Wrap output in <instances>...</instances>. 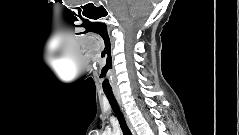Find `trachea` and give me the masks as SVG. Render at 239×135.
<instances>
[{
  "instance_id": "3493384b",
  "label": "trachea",
  "mask_w": 239,
  "mask_h": 135,
  "mask_svg": "<svg viewBox=\"0 0 239 135\" xmlns=\"http://www.w3.org/2000/svg\"><path fill=\"white\" fill-rule=\"evenodd\" d=\"M105 95H106V97H107V99H108V101H109V103L112 107L113 112L115 113V115L118 118L119 124L121 126L122 131H123V134L124 135H132L131 131L129 130V128H128L126 122H125L124 116H123V114H122V112H121V110H120V108L117 104V101H116L113 93H105Z\"/></svg>"
}]
</instances>
